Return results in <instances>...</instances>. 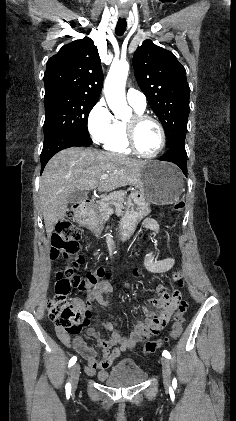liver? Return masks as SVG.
I'll return each instance as SVG.
<instances>
[{
	"mask_svg": "<svg viewBox=\"0 0 236 421\" xmlns=\"http://www.w3.org/2000/svg\"><path fill=\"white\" fill-rule=\"evenodd\" d=\"M144 160L128 158L116 152L91 150L71 146L54 154L40 176L39 196L47 239L55 225L68 211V196L73 190L98 188L101 192L125 184H139V172ZM102 174L108 178L100 180Z\"/></svg>",
	"mask_w": 236,
	"mask_h": 421,
	"instance_id": "1",
	"label": "liver"
}]
</instances>
